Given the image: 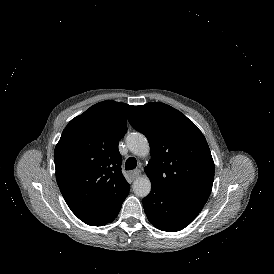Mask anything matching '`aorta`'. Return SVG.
<instances>
[{
    "label": "aorta",
    "instance_id": "762f6f07",
    "mask_svg": "<svg viewBox=\"0 0 274 274\" xmlns=\"http://www.w3.org/2000/svg\"><path fill=\"white\" fill-rule=\"evenodd\" d=\"M128 149L137 156H146L150 147L146 137L138 132L130 133L126 137ZM133 191L139 197H146L151 191V182L147 176L137 178L133 183Z\"/></svg>",
    "mask_w": 274,
    "mask_h": 274
}]
</instances>
